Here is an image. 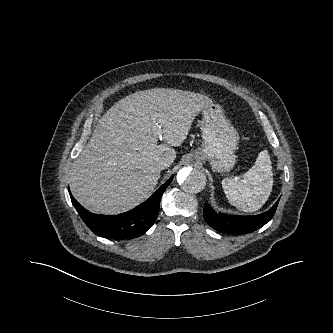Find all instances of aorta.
Returning a JSON list of instances; mask_svg holds the SVG:
<instances>
[{
	"label": "aorta",
	"instance_id": "aorta-1",
	"mask_svg": "<svg viewBox=\"0 0 333 333\" xmlns=\"http://www.w3.org/2000/svg\"><path fill=\"white\" fill-rule=\"evenodd\" d=\"M177 182L186 193H199L206 186V176L199 169L186 167L177 173Z\"/></svg>",
	"mask_w": 333,
	"mask_h": 333
}]
</instances>
